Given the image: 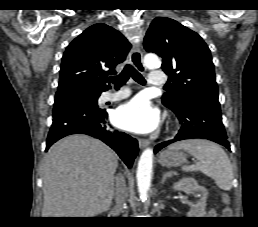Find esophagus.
<instances>
[{"mask_svg": "<svg viewBox=\"0 0 258 227\" xmlns=\"http://www.w3.org/2000/svg\"><path fill=\"white\" fill-rule=\"evenodd\" d=\"M131 62L135 66L137 70L140 72H145V67L142 62V52L138 45L133 46L131 54H130ZM140 148H145L149 145V140L147 139H139L138 140Z\"/></svg>", "mask_w": 258, "mask_h": 227, "instance_id": "34e87169", "label": "esophagus"}]
</instances>
